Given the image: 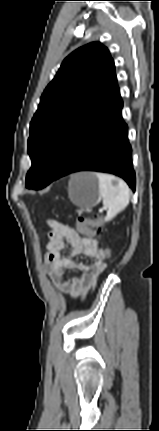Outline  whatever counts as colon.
I'll return each instance as SVG.
<instances>
[{"mask_svg": "<svg viewBox=\"0 0 159 431\" xmlns=\"http://www.w3.org/2000/svg\"><path fill=\"white\" fill-rule=\"evenodd\" d=\"M77 229L83 233V237H100L103 232V227L99 226V219L97 217H90V219H77ZM100 256H104L106 261H110L113 256V251L106 249L102 250Z\"/></svg>", "mask_w": 159, "mask_h": 431, "instance_id": "colon-1", "label": "colon"}]
</instances>
